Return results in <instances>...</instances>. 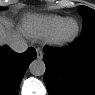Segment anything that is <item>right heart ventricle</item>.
I'll return each instance as SVG.
<instances>
[{"label":"right heart ventricle","instance_id":"e07e8e85","mask_svg":"<svg viewBox=\"0 0 95 95\" xmlns=\"http://www.w3.org/2000/svg\"><path fill=\"white\" fill-rule=\"evenodd\" d=\"M64 19L60 15H28L23 21V28L32 38L46 39Z\"/></svg>","mask_w":95,"mask_h":95}]
</instances>
